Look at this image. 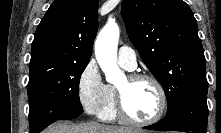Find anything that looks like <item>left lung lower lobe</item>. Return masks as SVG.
I'll return each mask as SVG.
<instances>
[{
	"mask_svg": "<svg viewBox=\"0 0 221 133\" xmlns=\"http://www.w3.org/2000/svg\"><path fill=\"white\" fill-rule=\"evenodd\" d=\"M206 97V94L191 96L175 110L167 113L159 122L143 128L186 133H206L208 119Z\"/></svg>",
	"mask_w": 221,
	"mask_h": 133,
	"instance_id": "obj_1",
	"label": "left lung lower lobe"
}]
</instances>
